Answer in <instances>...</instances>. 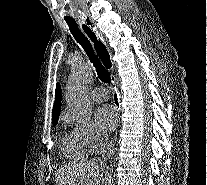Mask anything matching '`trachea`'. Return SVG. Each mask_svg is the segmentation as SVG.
Returning a JSON list of instances; mask_svg holds the SVG:
<instances>
[{"mask_svg":"<svg viewBox=\"0 0 207 185\" xmlns=\"http://www.w3.org/2000/svg\"><path fill=\"white\" fill-rule=\"evenodd\" d=\"M65 21L67 22L70 28V31L75 37L76 41L82 45L85 52L90 57V60L93 62L100 80L106 83L110 82L111 80L110 75H109L108 70H106V68L108 67L107 66L106 68L103 67L102 63L96 58V56L93 53V49H92V46L89 40L85 37V35H83V33H81V31L77 27L75 20L65 18ZM83 30L90 37V39L95 43L96 52L99 58L102 60V62L105 63L104 57L107 54L106 47L104 46L102 42H100V40H97L96 35L86 25H83Z\"/></svg>","mask_w":207,"mask_h":185,"instance_id":"obj_1","label":"trachea"}]
</instances>
